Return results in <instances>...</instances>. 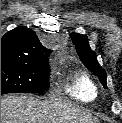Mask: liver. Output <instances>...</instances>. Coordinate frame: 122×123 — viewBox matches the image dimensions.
I'll list each match as a JSON object with an SVG mask.
<instances>
[{
	"label": "liver",
	"instance_id": "obj_1",
	"mask_svg": "<svg viewBox=\"0 0 122 123\" xmlns=\"http://www.w3.org/2000/svg\"><path fill=\"white\" fill-rule=\"evenodd\" d=\"M1 123H99L91 113L30 95L1 98Z\"/></svg>",
	"mask_w": 122,
	"mask_h": 123
}]
</instances>
